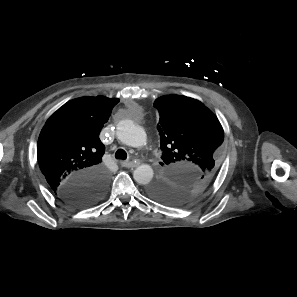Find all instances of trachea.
<instances>
[{"label": "trachea", "instance_id": "3493384b", "mask_svg": "<svg viewBox=\"0 0 297 297\" xmlns=\"http://www.w3.org/2000/svg\"><path fill=\"white\" fill-rule=\"evenodd\" d=\"M116 159L125 160L127 158V153L123 149H118L115 153Z\"/></svg>", "mask_w": 297, "mask_h": 297}]
</instances>
